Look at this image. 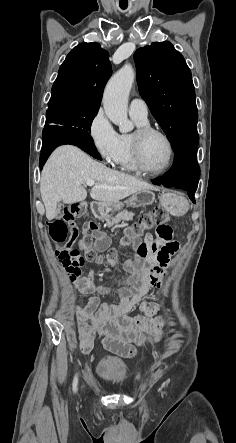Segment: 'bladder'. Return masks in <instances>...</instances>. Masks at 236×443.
Segmentation results:
<instances>
[{"mask_svg": "<svg viewBox=\"0 0 236 443\" xmlns=\"http://www.w3.org/2000/svg\"><path fill=\"white\" fill-rule=\"evenodd\" d=\"M97 374L104 381L117 383L126 378L127 368L121 359L106 355L98 361Z\"/></svg>", "mask_w": 236, "mask_h": 443, "instance_id": "bladder-1", "label": "bladder"}]
</instances>
